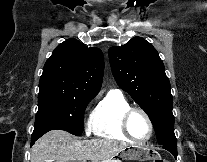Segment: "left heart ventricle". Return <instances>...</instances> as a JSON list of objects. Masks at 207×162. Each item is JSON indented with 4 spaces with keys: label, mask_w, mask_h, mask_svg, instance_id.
I'll use <instances>...</instances> for the list:
<instances>
[{
    "label": "left heart ventricle",
    "mask_w": 207,
    "mask_h": 162,
    "mask_svg": "<svg viewBox=\"0 0 207 162\" xmlns=\"http://www.w3.org/2000/svg\"><path fill=\"white\" fill-rule=\"evenodd\" d=\"M129 130L136 139H145L149 134V127L146 119L140 113H135L129 120Z\"/></svg>",
    "instance_id": "b2bd125f"
}]
</instances>
